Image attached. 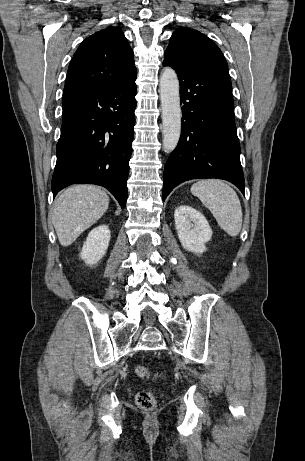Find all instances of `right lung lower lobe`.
<instances>
[{"instance_id": "obj_1", "label": "right lung lower lobe", "mask_w": 305, "mask_h": 461, "mask_svg": "<svg viewBox=\"0 0 305 461\" xmlns=\"http://www.w3.org/2000/svg\"><path fill=\"white\" fill-rule=\"evenodd\" d=\"M135 80L136 76L113 87L63 97L53 197L71 184L89 183L107 188L125 207L135 125Z\"/></svg>"}]
</instances>
